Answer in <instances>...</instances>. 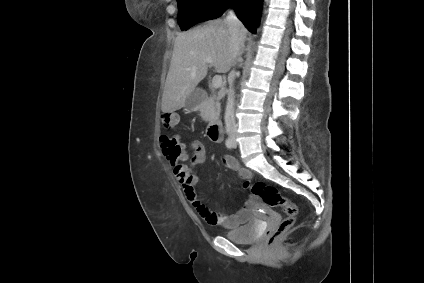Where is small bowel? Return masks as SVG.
Segmentation results:
<instances>
[{"instance_id": "obj_1", "label": "small bowel", "mask_w": 424, "mask_h": 283, "mask_svg": "<svg viewBox=\"0 0 424 283\" xmlns=\"http://www.w3.org/2000/svg\"><path fill=\"white\" fill-rule=\"evenodd\" d=\"M190 149L191 157L189 165L178 164L173 167V174L181 185L186 199L197 210L200 216L211 225L234 228L244 223L248 219L249 213L254 206V201L252 199L247 200L244 207L237 213L223 216L212 212L209 207L198 198L196 192L198 166L203 164L206 160V149L204 144L199 140L192 141L190 143ZM184 157L186 156L184 155ZM222 162L226 167L237 172L241 178L251 179L253 176L249 169L241 167L236 159L230 155L222 156Z\"/></svg>"}]
</instances>
